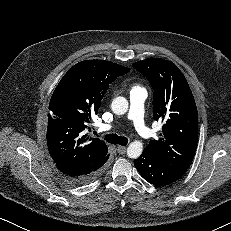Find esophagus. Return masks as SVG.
Returning a JSON list of instances; mask_svg holds the SVG:
<instances>
[{
	"instance_id": "esophagus-1",
	"label": "esophagus",
	"mask_w": 231,
	"mask_h": 231,
	"mask_svg": "<svg viewBox=\"0 0 231 231\" xmlns=\"http://www.w3.org/2000/svg\"><path fill=\"white\" fill-rule=\"evenodd\" d=\"M117 151H118L119 154H125V152H126V147L118 146V147H117Z\"/></svg>"
}]
</instances>
